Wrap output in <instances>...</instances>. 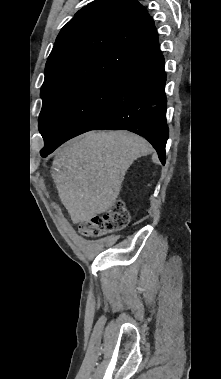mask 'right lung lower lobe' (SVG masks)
<instances>
[{
    "mask_svg": "<svg viewBox=\"0 0 221 379\" xmlns=\"http://www.w3.org/2000/svg\"><path fill=\"white\" fill-rule=\"evenodd\" d=\"M165 81L162 54L124 73L109 110L92 130L114 129L137 133L152 144L164 165L169 136ZM67 140L59 139L48 149H42L41 156L46 157Z\"/></svg>",
    "mask_w": 221,
    "mask_h": 379,
    "instance_id": "obj_1",
    "label": "right lung lower lobe"
}]
</instances>
